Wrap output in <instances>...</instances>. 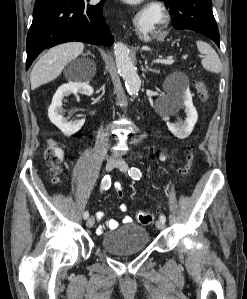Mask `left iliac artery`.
Listing matches in <instances>:
<instances>
[{
	"label": "left iliac artery",
	"instance_id": "left-iliac-artery-1",
	"mask_svg": "<svg viewBox=\"0 0 247 299\" xmlns=\"http://www.w3.org/2000/svg\"><path fill=\"white\" fill-rule=\"evenodd\" d=\"M128 173H129V176H131L135 180H139L141 177V172L136 167H131V169L128 171ZM159 219L162 220L163 222H166V217L163 214L160 215Z\"/></svg>",
	"mask_w": 247,
	"mask_h": 299
}]
</instances>
